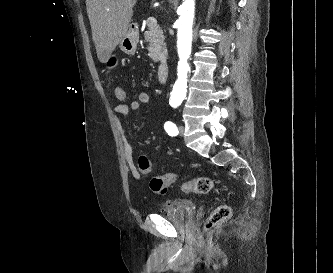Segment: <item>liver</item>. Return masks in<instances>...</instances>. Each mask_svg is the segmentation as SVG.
<instances>
[{
	"instance_id": "liver-1",
	"label": "liver",
	"mask_w": 333,
	"mask_h": 273,
	"mask_svg": "<svg viewBox=\"0 0 333 273\" xmlns=\"http://www.w3.org/2000/svg\"><path fill=\"white\" fill-rule=\"evenodd\" d=\"M137 0H86L97 57L105 63L126 35Z\"/></svg>"
}]
</instances>
